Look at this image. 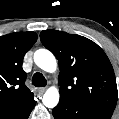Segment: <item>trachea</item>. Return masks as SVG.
<instances>
[{"mask_svg": "<svg viewBox=\"0 0 119 119\" xmlns=\"http://www.w3.org/2000/svg\"><path fill=\"white\" fill-rule=\"evenodd\" d=\"M32 84L35 87H45L47 84V81L41 73L37 72L32 77Z\"/></svg>", "mask_w": 119, "mask_h": 119, "instance_id": "1", "label": "trachea"}]
</instances>
